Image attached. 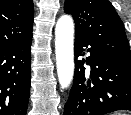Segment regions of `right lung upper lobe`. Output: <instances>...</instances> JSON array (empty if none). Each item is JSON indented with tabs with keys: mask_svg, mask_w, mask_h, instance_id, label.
<instances>
[{
	"mask_svg": "<svg viewBox=\"0 0 131 115\" xmlns=\"http://www.w3.org/2000/svg\"><path fill=\"white\" fill-rule=\"evenodd\" d=\"M32 0H0V50L32 38Z\"/></svg>",
	"mask_w": 131,
	"mask_h": 115,
	"instance_id": "cb5924a9",
	"label": "right lung upper lobe"
}]
</instances>
